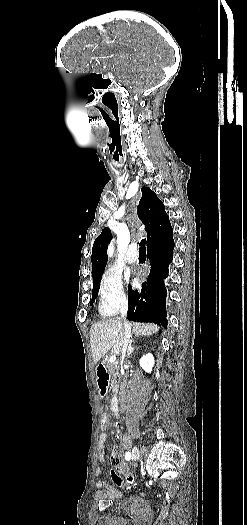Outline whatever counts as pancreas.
I'll return each instance as SVG.
<instances>
[{"instance_id":"pancreas-1","label":"pancreas","mask_w":247,"mask_h":525,"mask_svg":"<svg viewBox=\"0 0 247 525\" xmlns=\"http://www.w3.org/2000/svg\"><path fill=\"white\" fill-rule=\"evenodd\" d=\"M108 358H103V361H104V365H106L109 373H111L112 377H113V381H120V375L118 373V361H115V363H110L108 361Z\"/></svg>"}]
</instances>
